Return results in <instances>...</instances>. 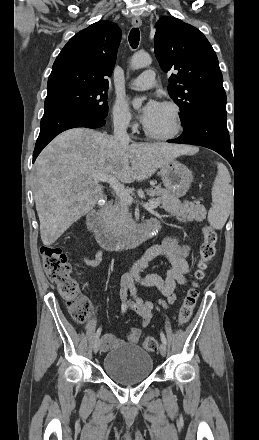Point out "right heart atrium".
Masks as SVG:
<instances>
[{"mask_svg": "<svg viewBox=\"0 0 259 440\" xmlns=\"http://www.w3.org/2000/svg\"><path fill=\"white\" fill-rule=\"evenodd\" d=\"M112 123L115 128L120 130H128L134 127L133 116L127 104L118 99L114 102L111 110Z\"/></svg>", "mask_w": 259, "mask_h": 440, "instance_id": "d8ad5b80", "label": "right heart atrium"}]
</instances>
